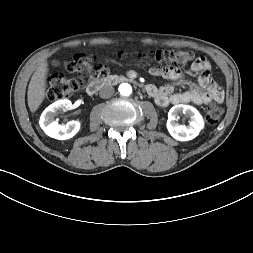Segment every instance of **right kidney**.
Segmentation results:
<instances>
[{
	"label": "right kidney",
	"instance_id": "1",
	"mask_svg": "<svg viewBox=\"0 0 253 253\" xmlns=\"http://www.w3.org/2000/svg\"><path fill=\"white\" fill-rule=\"evenodd\" d=\"M72 102L68 99L58 100L49 105L40 117V127L50 137L58 140L72 138L80 129L79 121H70L65 125L59 124L54 120V116L61 111L70 110Z\"/></svg>",
	"mask_w": 253,
	"mask_h": 253
}]
</instances>
